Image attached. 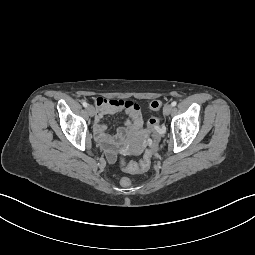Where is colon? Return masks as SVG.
<instances>
[{
    "instance_id": "1",
    "label": "colon",
    "mask_w": 255,
    "mask_h": 255,
    "mask_svg": "<svg viewBox=\"0 0 255 255\" xmlns=\"http://www.w3.org/2000/svg\"><path fill=\"white\" fill-rule=\"evenodd\" d=\"M161 105L162 104L160 101H152L149 103V108L152 111L156 112L160 109ZM148 128L151 135L154 137L155 140H157L159 135L161 134V126H160L159 117L157 116L151 117L148 121ZM154 150H155V145L152 144L151 147L145 152V155L142 161L140 162V164L128 163L124 166L125 170L129 172H144L148 170ZM120 184L123 187H130L133 184V180L129 176H123L120 180Z\"/></svg>"
}]
</instances>
